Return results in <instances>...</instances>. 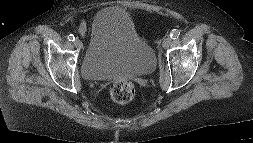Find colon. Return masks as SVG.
Returning a JSON list of instances; mask_svg holds the SVG:
<instances>
[{
	"mask_svg": "<svg viewBox=\"0 0 253 143\" xmlns=\"http://www.w3.org/2000/svg\"><path fill=\"white\" fill-rule=\"evenodd\" d=\"M111 98L120 104L131 102L135 97L134 85L126 79L114 81L110 87Z\"/></svg>",
	"mask_w": 253,
	"mask_h": 143,
	"instance_id": "5ec220e1",
	"label": "colon"
}]
</instances>
